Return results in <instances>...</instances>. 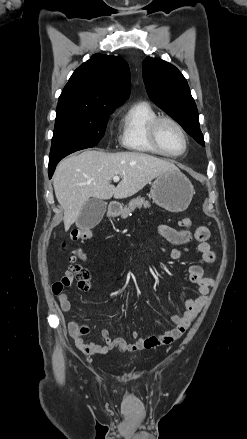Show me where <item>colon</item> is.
<instances>
[{
	"label": "colon",
	"instance_id": "1",
	"mask_svg": "<svg viewBox=\"0 0 247 439\" xmlns=\"http://www.w3.org/2000/svg\"><path fill=\"white\" fill-rule=\"evenodd\" d=\"M192 225V221L189 218H185L181 221L183 228H188ZM92 237V233L88 229L75 228L72 230L69 238V242L65 243V247H73L72 255L70 257V271L77 280V285L81 290L87 291L90 287V272L87 268L83 267L77 262V256L83 260L86 259L85 255L76 247L84 243Z\"/></svg>",
	"mask_w": 247,
	"mask_h": 439
}]
</instances>
